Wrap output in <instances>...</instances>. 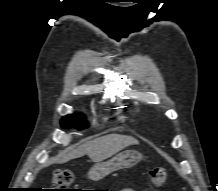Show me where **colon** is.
<instances>
[{"label": "colon", "mask_w": 218, "mask_h": 191, "mask_svg": "<svg viewBox=\"0 0 218 191\" xmlns=\"http://www.w3.org/2000/svg\"><path fill=\"white\" fill-rule=\"evenodd\" d=\"M150 182L154 186H162L166 182L167 174L163 168H154L148 173ZM74 179V174L71 170L63 169L57 170L53 175V191H74L68 189L72 184Z\"/></svg>", "instance_id": "1"}]
</instances>
